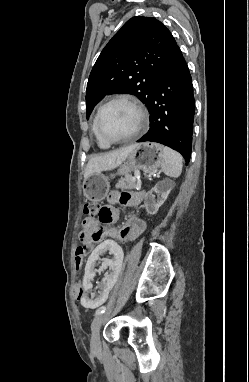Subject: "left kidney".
Returning <instances> with one entry per match:
<instances>
[{"label":"left kidney","instance_id":"5707ae66","mask_svg":"<svg viewBox=\"0 0 249 382\" xmlns=\"http://www.w3.org/2000/svg\"><path fill=\"white\" fill-rule=\"evenodd\" d=\"M174 187L175 183L170 179L158 182L152 189H149V194L145 199L147 207L155 208L157 211ZM100 244L96 246V250H92L86 262L85 272L81 277L83 291V294L79 296L81 309L104 307L105 298L109 297L112 287L118 285L115 277L119 276L123 266V245H118L117 240H102ZM101 273H104L103 280H100ZM94 284L97 287L95 291Z\"/></svg>","mask_w":249,"mask_h":382}]
</instances>
